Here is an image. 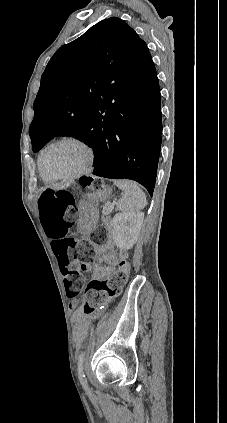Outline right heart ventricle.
Listing matches in <instances>:
<instances>
[{
    "label": "right heart ventricle",
    "instance_id": "1",
    "mask_svg": "<svg viewBox=\"0 0 227 423\" xmlns=\"http://www.w3.org/2000/svg\"><path fill=\"white\" fill-rule=\"evenodd\" d=\"M39 158H40V156H39ZM39 158H38V171H39V176L41 177V179H42V181H43L44 183H46V184L52 183L54 180H50V179L46 178V177L42 174V172H41V170H40V166H39Z\"/></svg>",
    "mask_w": 227,
    "mask_h": 423
}]
</instances>
